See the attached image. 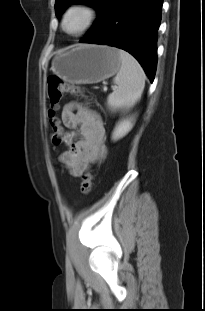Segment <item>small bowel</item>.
Segmentation results:
<instances>
[{
	"mask_svg": "<svg viewBox=\"0 0 205 311\" xmlns=\"http://www.w3.org/2000/svg\"><path fill=\"white\" fill-rule=\"evenodd\" d=\"M67 150L59 160L75 177H79L92 164L106 156L105 127L101 117L75 102L68 103L62 111Z\"/></svg>",
	"mask_w": 205,
	"mask_h": 311,
	"instance_id": "small-bowel-1",
	"label": "small bowel"
}]
</instances>
